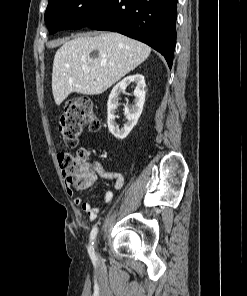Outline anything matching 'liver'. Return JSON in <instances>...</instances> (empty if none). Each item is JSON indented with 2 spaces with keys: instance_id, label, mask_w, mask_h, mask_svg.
<instances>
[{
  "instance_id": "liver-1",
  "label": "liver",
  "mask_w": 247,
  "mask_h": 296,
  "mask_svg": "<svg viewBox=\"0 0 247 296\" xmlns=\"http://www.w3.org/2000/svg\"><path fill=\"white\" fill-rule=\"evenodd\" d=\"M93 51L98 57H92ZM151 48L119 33L86 34L66 41L53 61L52 92L59 106L71 93L99 95L140 65ZM88 68L90 71L85 72Z\"/></svg>"
}]
</instances>
